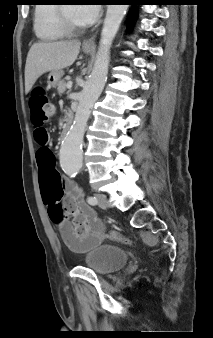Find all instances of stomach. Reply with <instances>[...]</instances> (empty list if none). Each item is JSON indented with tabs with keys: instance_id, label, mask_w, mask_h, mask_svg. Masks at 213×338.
Instances as JSON below:
<instances>
[{
	"instance_id": "1",
	"label": "stomach",
	"mask_w": 213,
	"mask_h": 338,
	"mask_svg": "<svg viewBox=\"0 0 213 338\" xmlns=\"http://www.w3.org/2000/svg\"><path fill=\"white\" fill-rule=\"evenodd\" d=\"M84 53L89 54L91 53V49H87V48H83ZM63 70H55V71H51L48 75V87H56L61 79V77L63 76Z\"/></svg>"
}]
</instances>
